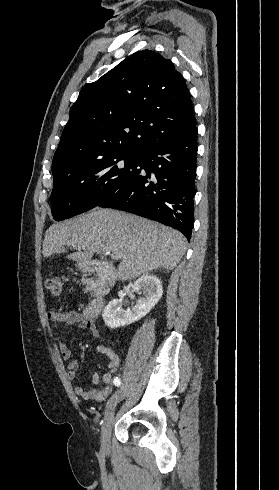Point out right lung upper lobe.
Masks as SVG:
<instances>
[{"mask_svg":"<svg viewBox=\"0 0 279 490\" xmlns=\"http://www.w3.org/2000/svg\"><path fill=\"white\" fill-rule=\"evenodd\" d=\"M190 97L170 60L135 52L80 91L53 158V178L109 152L143 156L194 130Z\"/></svg>","mask_w":279,"mask_h":490,"instance_id":"1","label":"right lung upper lobe"}]
</instances>
